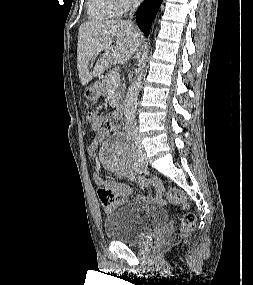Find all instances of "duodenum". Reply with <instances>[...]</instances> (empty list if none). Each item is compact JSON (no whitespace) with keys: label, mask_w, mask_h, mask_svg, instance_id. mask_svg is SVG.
I'll use <instances>...</instances> for the list:
<instances>
[{"label":"duodenum","mask_w":253,"mask_h":285,"mask_svg":"<svg viewBox=\"0 0 253 285\" xmlns=\"http://www.w3.org/2000/svg\"><path fill=\"white\" fill-rule=\"evenodd\" d=\"M123 116H124V109L123 107H119L112 117L114 127H119V125L123 121Z\"/></svg>","instance_id":"1"}]
</instances>
